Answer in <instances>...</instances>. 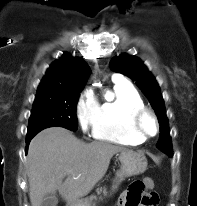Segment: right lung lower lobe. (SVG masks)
I'll use <instances>...</instances> for the list:
<instances>
[{
  "instance_id": "1",
  "label": "right lung lower lobe",
  "mask_w": 197,
  "mask_h": 206,
  "mask_svg": "<svg viewBox=\"0 0 197 206\" xmlns=\"http://www.w3.org/2000/svg\"><path fill=\"white\" fill-rule=\"evenodd\" d=\"M33 137H34V136H33ZM33 137H28V138H26V144H27V146H26V153H27V150H28L29 143H30V141H31V139H32Z\"/></svg>"
}]
</instances>
